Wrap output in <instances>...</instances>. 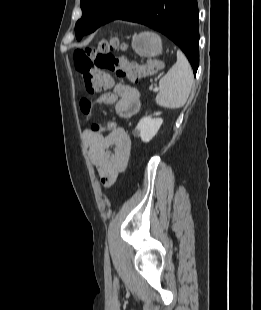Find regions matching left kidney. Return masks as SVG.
I'll return each instance as SVG.
<instances>
[{
    "label": "left kidney",
    "instance_id": "left-kidney-1",
    "mask_svg": "<svg viewBox=\"0 0 261 310\" xmlns=\"http://www.w3.org/2000/svg\"><path fill=\"white\" fill-rule=\"evenodd\" d=\"M160 112H156L154 115H160ZM163 120L161 118H152L147 116L142 118L135 128V134L139 135L143 142H149L157 134Z\"/></svg>",
    "mask_w": 261,
    "mask_h": 310
}]
</instances>
